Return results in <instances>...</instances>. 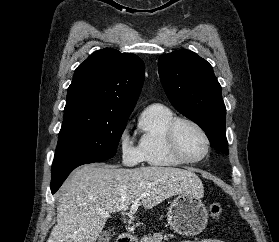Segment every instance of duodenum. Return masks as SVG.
Listing matches in <instances>:
<instances>
[{
  "label": "duodenum",
  "mask_w": 279,
  "mask_h": 242,
  "mask_svg": "<svg viewBox=\"0 0 279 242\" xmlns=\"http://www.w3.org/2000/svg\"><path fill=\"white\" fill-rule=\"evenodd\" d=\"M117 242H134V238L129 234H121L118 237Z\"/></svg>",
  "instance_id": "obj_1"
}]
</instances>
